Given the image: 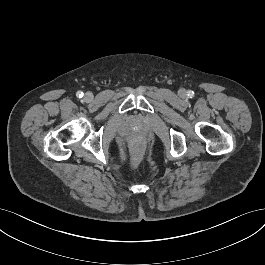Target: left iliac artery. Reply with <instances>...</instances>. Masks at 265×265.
I'll return each mask as SVG.
<instances>
[{"label":"left iliac artery","mask_w":265,"mask_h":265,"mask_svg":"<svg viewBox=\"0 0 265 265\" xmlns=\"http://www.w3.org/2000/svg\"><path fill=\"white\" fill-rule=\"evenodd\" d=\"M193 95H194V92L193 91H189L188 92V96H191L192 97Z\"/></svg>","instance_id":"44dca946"}]
</instances>
